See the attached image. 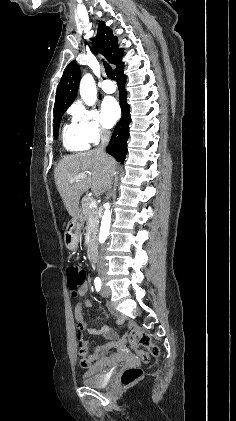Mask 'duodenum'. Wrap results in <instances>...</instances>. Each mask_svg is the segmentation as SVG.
<instances>
[{"label": "duodenum", "mask_w": 236, "mask_h": 421, "mask_svg": "<svg viewBox=\"0 0 236 421\" xmlns=\"http://www.w3.org/2000/svg\"><path fill=\"white\" fill-rule=\"evenodd\" d=\"M88 257L91 261L95 262L97 259L96 253V236H92L88 246ZM79 334V341L82 344H86V341L83 339L82 328L81 331L78 332ZM124 341L121 340L117 346L121 347ZM110 348V344H105L100 346L97 350V353L91 355V362H95L94 369L99 370L103 366H112L116 360L120 358V355H114L112 357L106 356L108 349Z\"/></svg>", "instance_id": "duodenum-1"}]
</instances>
